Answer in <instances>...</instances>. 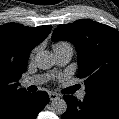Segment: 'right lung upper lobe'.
I'll return each mask as SVG.
<instances>
[{"label": "right lung upper lobe", "mask_w": 119, "mask_h": 119, "mask_svg": "<svg viewBox=\"0 0 119 119\" xmlns=\"http://www.w3.org/2000/svg\"><path fill=\"white\" fill-rule=\"evenodd\" d=\"M51 28L50 25L30 28L16 23L0 26V119L29 93L19 88L18 80L26 71L31 50L48 36Z\"/></svg>", "instance_id": "right-lung-upper-lobe-1"}]
</instances>
